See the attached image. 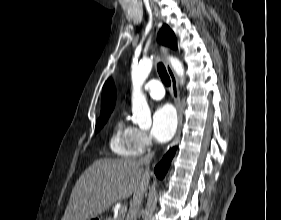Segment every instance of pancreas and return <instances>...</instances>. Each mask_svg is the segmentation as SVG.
I'll use <instances>...</instances> for the list:
<instances>
[{"mask_svg":"<svg viewBox=\"0 0 281 220\" xmlns=\"http://www.w3.org/2000/svg\"><path fill=\"white\" fill-rule=\"evenodd\" d=\"M106 220H124V214L119 213L116 218L109 217Z\"/></svg>","mask_w":281,"mask_h":220,"instance_id":"1","label":"pancreas"}]
</instances>
